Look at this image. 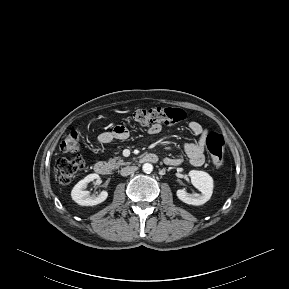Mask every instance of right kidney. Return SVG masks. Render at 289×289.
Wrapping results in <instances>:
<instances>
[{
  "label": "right kidney",
  "mask_w": 289,
  "mask_h": 289,
  "mask_svg": "<svg viewBox=\"0 0 289 289\" xmlns=\"http://www.w3.org/2000/svg\"><path fill=\"white\" fill-rule=\"evenodd\" d=\"M98 178V174H89L84 179L80 180L71 191L72 199L82 206H94L104 202L108 197V193L106 191H102L99 195L95 196L91 195L89 191L85 190L89 182Z\"/></svg>",
  "instance_id": "right-kidney-1"
}]
</instances>
